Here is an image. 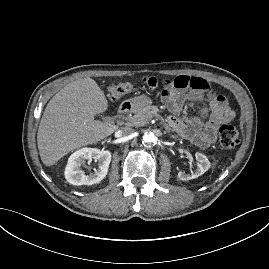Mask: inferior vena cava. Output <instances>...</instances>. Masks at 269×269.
<instances>
[{
  "label": "inferior vena cava",
  "mask_w": 269,
  "mask_h": 269,
  "mask_svg": "<svg viewBox=\"0 0 269 269\" xmlns=\"http://www.w3.org/2000/svg\"><path fill=\"white\" fill-rule=\"evenodd\" d=\"M134 129L131 127H123L121 128V130H119V134L120 136H130L131 134H133Z\"/></svg>",
  "instance_id": "inferior-vena-cava-1"
}]
</instances>
